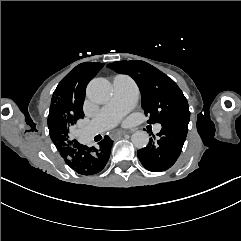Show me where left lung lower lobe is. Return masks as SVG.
Listing matches in <instances>:
<instances>
[{
  "instance_id": "0a47b994",
  "label": "left lung lower lobe",
  "mask_w": 241,
  "mask_h": 241,
  "mask_svg": "<svg viewBox=\"0 0 241 241\" xmlns=\"http://www.w3.org/2000/svg\"><path fill=\"white\" fill-rule=\"evenodd\" d=\"M188 123L189 120L162 123L158 140L154 136L145 148L137 151L139 160L147 170L161 172L176 162L186 139Z\"/></svg>"
}]
</instances>
